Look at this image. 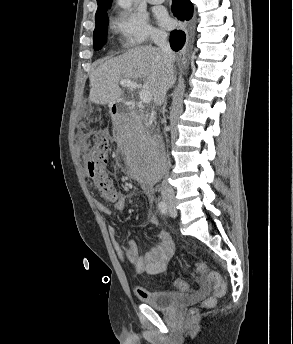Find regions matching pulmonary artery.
<instances>
[{"instance_id":"pulmonary-artery-1","label":"pulmonary artery","mask_w":293,"mask_h":344,"mask_svg":"<svg viewBox=\"0 0 293 344\" xmlns=\"http://www.w3.org/2000/svg\"><path fill=\"white\" fill-rule=\"evenodd\" d=\"M148 2L151 4H161L164 0H148Z\"/></svg>"}]
</instances>
